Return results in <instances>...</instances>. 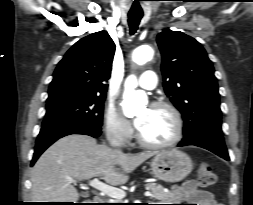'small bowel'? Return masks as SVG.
<instances>
[{
	"label": "small bowel",
	"instance_id": "1",
	"mask_svg": "<svg viewBox=\"0 0 253 205\" xmlns=\"http://www.w3.org/2000/svg\"><path fill=\"white\" fill-rule=\"evenodd\" d=\"M177 201L194 202L190 205H223L218 203L208 191L200 189L195 181H188L174 194Z\"/></svg>",
	"mask_w": 253,
	"mask_h": 205
}]
</instances>
